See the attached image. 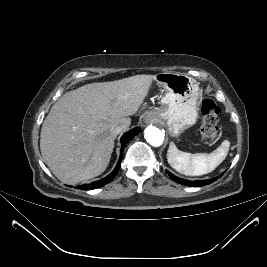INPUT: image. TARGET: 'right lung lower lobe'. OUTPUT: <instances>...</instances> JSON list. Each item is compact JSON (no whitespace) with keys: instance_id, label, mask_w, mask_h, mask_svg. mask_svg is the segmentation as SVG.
Masks as SVG:
<instances>
[{"instance_id":"98d812e1","label":"right lung lower lobe","mask_w":267,"mask_h":267,"mask_svg":"<svg viewBox=\"0 0 267 267\" xmlns=\"http://www.w3.org/2000/svg\"><path fill=\"white\" fill-rule=\"evenodd\" d=\"M139 132H140V127H135L134 129L128 131L127 133H125L122 136V138H121L122 145H121L120 158H119V161H118L115 169L112 171L111 174H109L107 177H105V178H103V179H101L99 181L93 182L91 184H85V185L77 186L76 188L82 189V190L96 189V188H99V187H102V186L106 185L111 180H113L114 177L116 176V174L119 171L120 163H121V160H122V153H123V150H124V147H125L126 143L129 140H131L134 136H136Z\"/></svg>"}]
</instances>
